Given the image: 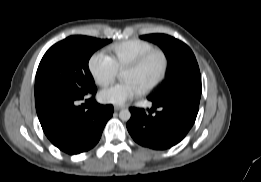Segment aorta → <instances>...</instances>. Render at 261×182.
Masks as SVG:
<instances>
[{
  "label": "aorta",
  "mask_w": 261,
  "mask_h": 182,
  "mask_svg": "<svg viewBox=\"0 0 261 182\" xmlns=\"http://www.w3.org/2000/svg\"><path fill=\"white\" fill-rule=\"evenodd\" d=\"M119 118L122 121H128L131 118V113L128 109H123L119 112Z\"/></svg>",
  "instance_id": "762f6f07"
}]
</instances>
